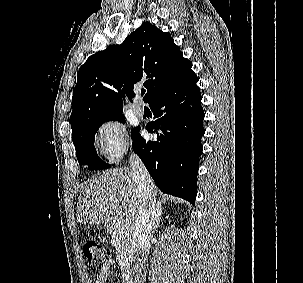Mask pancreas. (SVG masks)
I'll list each match as a JSON object with an SVG mask.
<instances>
[{"label":"pancreas","instance_id":"pancreas-1","mask_svg":"<svg viewBox=\"0 0 303 283\" xmlns=\"http://www.w3.org/2000/svg\"><path fill=\"white\" fill-rule=\"evenodd\" d=\"M112 243L116 248L117 260L121 269H129L135 252L130 230L122 225L115 228L112 232Z\"/></svg>","mask_w":303,"mask_h":283}]
</instances>
